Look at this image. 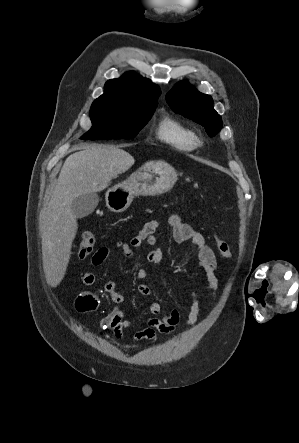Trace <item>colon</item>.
I'll return each instance as SVG.
<instances>
[{"label":"colon","instance_id":"1","mask_svg":"<svg viewBox=\"0 0 299 443\" xmlns=\"http://www.w3.org/2000/svg\"><path fill=\"white\" fill-rule=\"evenodd\" d=\"M215 242L219 253L225 258H231L232 252L229 245L215 235ZM95 243V236L91 231H86L82 235V239L79 245V257L80 259H86L93 250Z\"/></svg>","mask_w":299,"mask_h":443}]
</instances>
